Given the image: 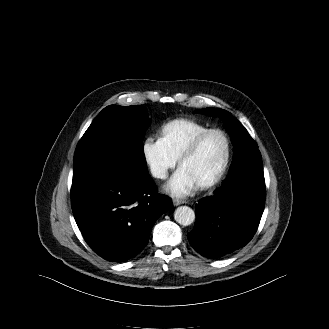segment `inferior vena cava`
<instances>
[{
  "mask_svg": "<svg viewBox=\"0 0 329 329\" xmlns=\"http://www.w3.org/2000/svg\"><path fill=\"white\" fill-rule=\"evenodd\" d=\"M152 174L154 177L157 178H165L166 177V170L162 167H155L152 168Z\"/></svg>",
  "mask_w": 329,
  "mask_h": 329,
  "instance_id": "obj_1",
  "label": "inferior vena cava"
}]
</instances>
